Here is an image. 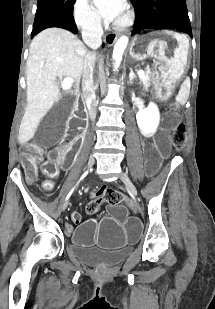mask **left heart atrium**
I'll list each match as a JSON object with an SVG mask.
<instances>
[{
  "label": "left heart atrium",
  "instance_id": "obj_1",
  "mask_svg": "<svg viewBox=\"0 0 215 309\" xmlns=\"http://www.w3.org/2000/svg\"><path fill=\"white\" fill-rule=\"evenodd\" d=\"M90 2L100 7L97 13L104 23L119 20L123 16L124 0H90Z\"/></svg>",
  "mask_w": 215,
  "mask_h": 309
}]
</instances>
